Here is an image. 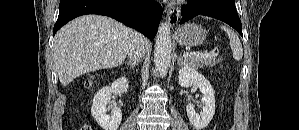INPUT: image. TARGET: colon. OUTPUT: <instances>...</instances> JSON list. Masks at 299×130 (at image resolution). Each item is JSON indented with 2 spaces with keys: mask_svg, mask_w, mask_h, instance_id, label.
Instances as JSON below:
<instances>
[{
  "mask_svg": "<svg viewBox=\"0 0 299 130\" xmlns=\"http://www.w3.org/2000/svg\"><path fill=\"white\" fill-rule=\"evenodd\" d=\"M78 130H92V128L88 125H82Z\"/></svg>",
  "mask_w": 299,
  "mask_h": 130,
  "instance_id": "5ec220e1",
  "label": "colon"
}]
</instances>
